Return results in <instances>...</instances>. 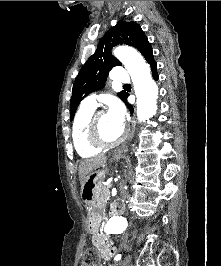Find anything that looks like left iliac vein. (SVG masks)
I'll use <instances>...</instances> for the list:
<instances>
[{"label": "left iliac vein", "instance_id": "obj_1", "mask_svg": "<svg viewBox=\"0 0 221 266\" xmlns=\"http://www.w3.org/2000/svg\"><path fill=\"white\" fill-rule=\"evenodd\" d=\"M131 260V255H127L121 262V266H130Z\"/></svg>", "mask_w": 221, "mask_h": 266}]
</instances>
